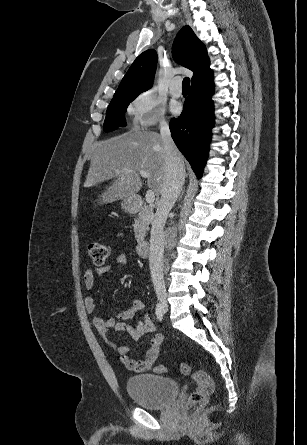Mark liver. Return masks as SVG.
I'll list each match as a JSON object with an SVG mask.
<instances>
[{"mask_svg":"<svg viewBox=\"0 0 307 445\" xmlns=\"http://www.w3.org/2000/svg\"><path fill=\"white\" fill-rule=\"evenodd\" d=\"M165 156L164 142L158 132L130 130L100 140L94 146L84 186H99L105 180L116 178L99 194L101 200H95L98 204H108L139 192L143 182L138 170H146L150 174L147 184L159 196L165 176ZM125 168L131 172L124 174Z\"/></svg>","mask_w":307,"mask_h":445,"instance_id":"liver-1","label":"liver"}]
</instances>
